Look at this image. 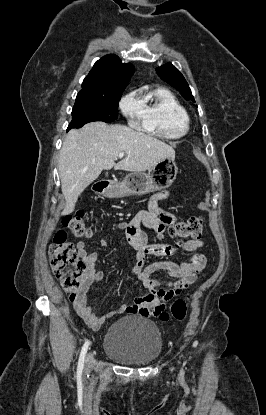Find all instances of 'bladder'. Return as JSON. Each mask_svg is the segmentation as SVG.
I'll return each mask as SVG.
<instances>
[{
  "label": "bladder",
  "instance_id": "bladder-1",
  "mask_svg": "<svg viewBox=\"0 0 266 415\" xmlns=\"http://www.w3.org/2000/svg\"><path fill=\"white\" fill-rule=\"evenodd\" d=\"M104 352L113 360L126 365H147L162 352V337L158 327L143 317H126L114 322L107 330Z\"/></svg>",
  "mask_w": 266,
  "mask_h": 415
}]
</instances>
